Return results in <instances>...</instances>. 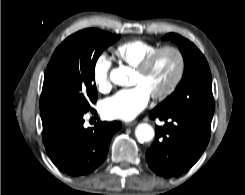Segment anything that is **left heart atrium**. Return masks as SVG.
Returning <instances> with one entry per match:
<instances>
[{
	"label": "left heart atrium",
	"mask_w": 245,
	"mask_h": 195,
	"mask_svg": "<svg viewBox=\"0 0 245 195\" xmlns=\"http://www.w3.org/2000/svg\"><path fill=\"white\" fill-rule=\"evenodd\" d=\"M150 93L141 85L123 89L101 103V112L108 119L130 121L148 105Z\"/></svg>",
	"instance_id": "39dd6f15"
}]
</instances>
